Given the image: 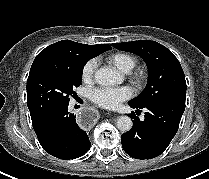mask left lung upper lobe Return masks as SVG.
Wrapping results in <instances>:
<instances>
[{"label":"left lung upper lobe","mask_w":209,"mask_h":179,"mask_svg":"<svg viewBox=\"0 0 209 179\" xmlns=\"http://www.w3.org/2000/svg\"><path fill=\"white\" fill-rule=\"evenodd\" d=\"M119 50L141 56L149 71L145 90L129 102L139 106L173 99H186L185 75L178 59L163 45L151 40L112 44Z\"/></svg>","instance_id":"5c2ea615"}]
</instances>
